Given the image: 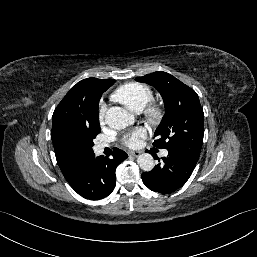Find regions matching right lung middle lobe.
Masks as SVG:
<instances>
[{
  "label": "right lung middle lobe",
  "instance_id": "1",
  "mask_svg": "<svg viewBox=\"0 0 257 257\" xmlns=\"http://www.w3.org/2000/svg\"><path fill=\"white\" fill-rule=\"evenodd\" d=\"M104 90H95L81 98L80 109L88 118V123L68 135L69 141L83 151L93 153V139L100 133L98 104Z\"/></svg>",
  "mask_w": 257,
  "mask_h": 257
}]
</instances>
